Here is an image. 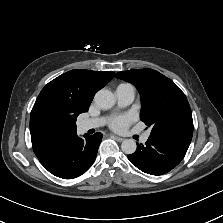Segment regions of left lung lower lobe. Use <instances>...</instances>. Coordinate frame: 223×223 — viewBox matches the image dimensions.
<instances>
[{
    "instance_id": "obj_1",
    "label": "left lung lower lobe",
    "mask_w": 223,
    "mask_h": 223,
    "mask_svg": "<svg viewBox=\"0 0 223 223\" xmlns=\"http://www.w3.org/2000/svg\"><path fill=\"white\" fill-rule=\"evenodd\" d=\"M187 149L161 139L149 137L145 146H137L136 152L128 155V159L145 173L161 175L176 167L184 158Z\"/></svg>"
}]
</instances>
